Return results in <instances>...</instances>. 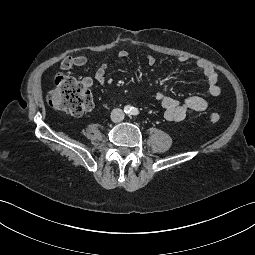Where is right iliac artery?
<instances>
[{"label":"right iliac artery","instance_id":"right-iliac-artery-1","mask_svg":"<svg viewBox=\"0 0 255 255\" xmlns=\"http://www.w3.org/2000/svg\"><path fill=\"white\" fill-rule=\"evenodd\" d=\"M131 107L130 106H126L125 108H124V111L126 112V113H130V111H131Z\"/></svg>","mask_w":255,"mask_h":255}]
</instances>
